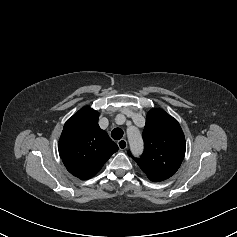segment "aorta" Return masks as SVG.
I'll return each mask as SVG.
<instances>
[{"mask_svg": "<svg viewBox=\"0 0 237 237\" xmlns=\"http://www.w3.org/2000/svg\"><path fill=\"white\" fill-rule=\"evenodd\" d=\"M127 137L132 154L136 157L143 153L144 143L140 131L136 127L127 130Z\"/></svg>", "mask_w": 237, "mask_h": 237, "instance_id": "762f6f07", "label": "aorta"}]
</instances>
